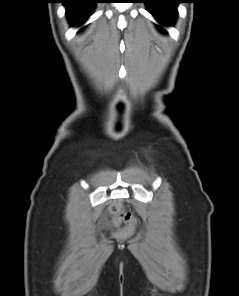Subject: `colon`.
I'll use <instances>...</instances> for the list:
<instances>
[{
	"instance_id": "5ec220e1",
	"label": "colon",
	"mask_w": 239,
	"mask_h": 296,
	"mask_svg": "<svg viewBox=\"0 0 239 296\" xmlns=\"http://www.w3.org/2000/svg\"><path fill=\"white\" fill-rule=\"evenodd\" d=\"M110 212L113 217V223L116 226H127L128 228H134L136 226V219L131 212L126 211L123 205L119 202H115L110 206Z\"/></svg>"
}]
</instances>
